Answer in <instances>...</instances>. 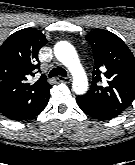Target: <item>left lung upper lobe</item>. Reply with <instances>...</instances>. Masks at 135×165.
<instances>
[{
    "label": "left lung upper lobe",
    "instance_id": "5c2ea615",
    "mask_svg": "<svg viewBox=\"0 0 135 165\" xmlns=\"http://www.w3.org/2000/svg\"><path fill=\"white\" fill-rule=\"evenodd\" d=\"M86 39L95 66L89 91L78 97L117 116L135 98V57L117 35L107 30H93Z\"/></svg>",
    "mask_w": 135,
    "mask_h": 165
}]
</instances>
